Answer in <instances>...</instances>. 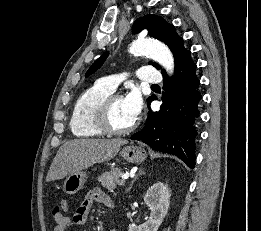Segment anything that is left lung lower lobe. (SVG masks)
<instances>
[{"mask_svg":"<svg viewBox=\"0 0 261 231\" xmlns=\"http://www.w3.org/2000/svg\"><path fill=\"white\" fill-rule=\"evenodd\" d=\"M196 67L188 54L175 67L172 79L163 74L168 91L163 95L160 111H149L145 127L131 136L156 151L179 157L190 168L195 166L196 120L202 98Z\"/></svg>","mask_w":261,"mask_h":231,"instance_id":"obj_1","label":"left lung lower lobe"}]
</instances>
